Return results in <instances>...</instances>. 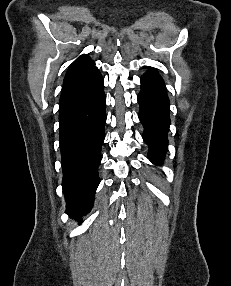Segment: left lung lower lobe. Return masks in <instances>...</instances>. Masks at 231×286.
Listing matches in <instances>:
<instances>
[{"label": "left lung lower lobe", "mask_w": 231, "mask_h": 286, "mask_svg": "<svg viewBox=\"0 0 231 286\" xmlns=\"http://www.w3.org/2000/svg\"><path fill=\"white\" fill-rule=\"evenodd\" d=\"M139 119L144 126V141L149 145V158L153 163H161L167 150L169 130V99L164 81L154 70H148L141 77Z\"/></svg>", "instance_id": "1"}]
</instances>
